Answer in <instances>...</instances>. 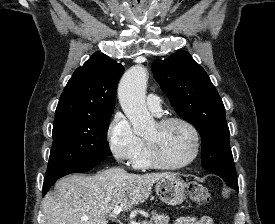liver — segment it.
<instances>
[{"mask_svg":"<svg viewBox=\"0 0 275 224\" xmlns=\"http://www.w3.org/2000/svg\"><path fill=\"white\" fill-rule=\"evenodd\" d=\"M167 175L111 168L94 176H66L56 183L55 193L48 192L43 199L47 224H107L114 207L131 210L148 199L153 184Z\"/></svg>","mask_w":275,"mask_h":224,"instance_id":"obj_1","label":"liver"}]
</instances>
